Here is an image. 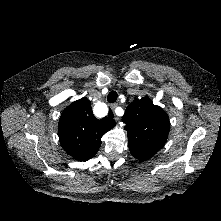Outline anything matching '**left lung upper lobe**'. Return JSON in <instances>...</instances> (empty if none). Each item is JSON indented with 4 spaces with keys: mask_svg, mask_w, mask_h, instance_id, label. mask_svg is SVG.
I'll return each mask as SVG.
<instances>
[{
    "mask_svg": "<svg viewBox=\"0 0 221 221\" xmlns=\"http://www.w3.org/2000/svg\"><path fill=\"white\" fill-rule=\"evenodd\" d=\"M122 121L126 124L129 150L138 160L150 159L164 146L170 130L169 118L149 98L130 103Z\"/></svg>",
    "mask_w": 221,
    "mask_h": 221,
    "instance_id": "1",
    "label": "left lung upper lobe"
}]
</instances>
